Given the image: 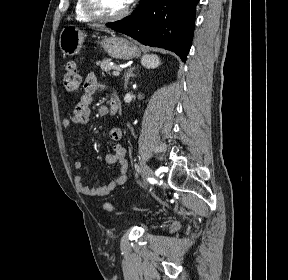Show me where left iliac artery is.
Wrapping results in <instances>:
<instances>
[{"mask_svg":"<svg viewBox=\"0 0 288 280\" xmlns=\"http://www.w3.org/2000/svg\"><path fill=\"white\" fill-rule=\"evenodd\" d=\"M138 187H145L144 179H137Z\"/></svg>","mask_w":288,"mask_h":280,"instance_id":"1","label":"left iliac artery"}]
</instances>
